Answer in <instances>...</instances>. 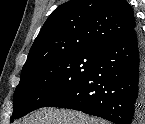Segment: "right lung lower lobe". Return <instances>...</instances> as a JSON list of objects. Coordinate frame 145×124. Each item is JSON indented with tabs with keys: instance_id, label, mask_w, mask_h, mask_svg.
<instances>
[{
	"instance_id": "1",
	"label": "right lung lower lobe",
	"mask_w": 145,
	"mask_h": 124,
	"mask_svg": "<svg viewBox=\"0 0 145 124\" xmlns=\"http://www.w3.org/2000/svg\"><path fill=\"white\" fill-rule=\"evenodd\" d=\"M46 107L74 109L116 124L141 118L145 108V58L138 28L105 47L87 75Z\"/></svg>"
}]
</instances>
